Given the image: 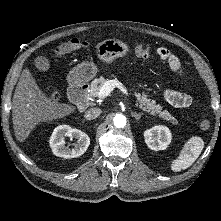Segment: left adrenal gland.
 Returning <instances> with one entry per match:
<instances>
[{"mask_svg": "<svg viewBox=\"0 0 221 221\" xmlns=\"http://www.w3.org/2000/svg\"><path fill=\"white\" fill-rule=\"evenodd\" d=\"M131 115L135 117L136 122H138L142 116V113L131 112Z\"/></svg>", "mask_w": 221, "mask_h": 221, "instance_id": "1", "label": "left adrenal gland"}]
</instances>
